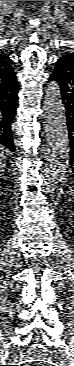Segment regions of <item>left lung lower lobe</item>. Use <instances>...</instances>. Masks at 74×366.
I'll return each mask as SVG.
<instances>
[{
    "label": "left lung lower lobe",
    "instance_id": "obj_1",
    "mask_svg": "<svg viewBox=\"0 0 74 366\" xmlns=\"http://www.w3.org/2000/svg\"><path fill=\"white\" fill-rule=\"evenodd\" d=\"M50 80L56 81L61 91L70 138V165H74V59L68 56L58 59Z\"/></svg>",
    "mask_w": 74,
    "mask_h": 366
}]
</instances>
